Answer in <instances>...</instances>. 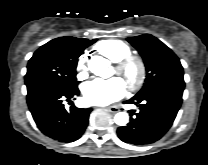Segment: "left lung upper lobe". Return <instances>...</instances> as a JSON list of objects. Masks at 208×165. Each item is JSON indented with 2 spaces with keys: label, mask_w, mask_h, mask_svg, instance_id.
<instances>
[{
  "label": "left lung upper lobe",
  "mask_w": 208,
  "mask_h": 165,
  "mask_svg": "<svg viewBox=\"0 0 208 165\" xmlns=\"http://www.w3.org/2000/svg\"><path fill=\"white\" fill-rule=\"evenodd\" d=\"M127 40L142 56L147 73L142 89L135 96L166 82H184L183 67L178 57L156 37L144 34Z\"/></svg>",
  "instance_id": "1"
}]
</instances>
